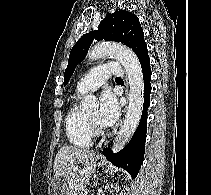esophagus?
I'll use <instances>...</instances> for the list:
<instances>
[{
    "instance_id": "esophagus-1",
    "label": "esophagus",
    "mask_w": 211,
    "mask_h": 195,
    "mask_svg": "<svg viewBox=\"0 0 211 195\" xmlns=\"http://www.w3.org/2000/svg\"><path fill=\"white\" fill-rule=\"evenodd\" d=\"M126 109H127V106H125V108L123 109V114H125ZM100 157H101V155H100Z\"/></svg>"
}]
</instances>
